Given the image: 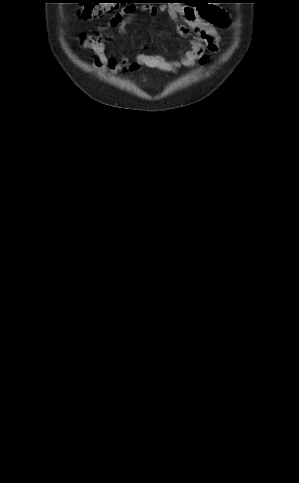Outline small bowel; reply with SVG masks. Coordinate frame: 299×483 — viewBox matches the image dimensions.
Instances as JSON below:
<instances>
[{
  "mask_svg": "<svg viewBox=\"0 0 299 483\" xmlns=\"http://www.w3.org/2000/svg\"><path fill=\"white\" fill-rule=\"evenodd\" d=\"M156 15L165 11L176 22L178 33L190 39V48L181 52L177 60H168L161 55L139 54L132 61L128 59L117 60L106 54L105 30L92 31L83 35L81 44L83 49L91 56L95 66L105 72L135 71L142 66L157 68L163 71L176 73L181 67H193L196 64L206 63L210 55L219 50L220 35L217 26L227 22L225 11L213 4H205L204 9L208 18H202L198 6L171 4L167 6L130 5L115 14L108 22L107 28L114 29L118 34H125L127 25L137 10ZM195 35V37L193 36Z\"/></svg>",
  "mask_w": 299,
  "mask_h": 483,
  "instance_id": "1",
  "label": "small bowel"
}]
</instances>
